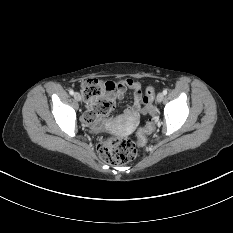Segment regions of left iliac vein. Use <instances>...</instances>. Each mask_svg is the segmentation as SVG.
Here are the masks:
<instances>
[{
  "instance_id": "left-iliac-vein-1",
  "label": "left iliac vein",
  "mask_w": 233,
  "mask_h": 233,
  "mask_svg": "<svg viewBox=\"0 0 233 233\" xmlns=\"http://www.w3.org/2000/svg\"><path fill=\"white\" fill-rule=\"evenodd\" d=\"M164 99V94L163 93H159L156 97V100L158 103L162 102Z\"/></svg>"
}]
</instances>
